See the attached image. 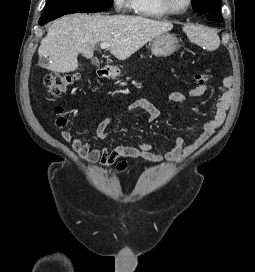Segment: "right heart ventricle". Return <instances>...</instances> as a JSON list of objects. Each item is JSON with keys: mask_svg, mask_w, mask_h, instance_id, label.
<instances>
[{"mask_svg": "<svg viewBox=\"0 0 255 272\" xmlns=\"http://www.w3.org/2000/svg\"><path fill=\"white\" fill-rule=\"evenodd\" d=\"M133 9L136 14L145 17L162 18L168 15L159 0H133Z\"/></svg>", "mask_w": 255, "mask_h": 272, "instance_id": "right-heart-ventricle-1", "label": "right heart ventricle"}]
</instances>
